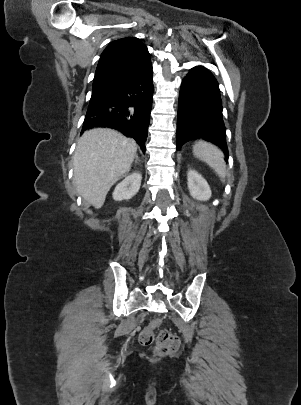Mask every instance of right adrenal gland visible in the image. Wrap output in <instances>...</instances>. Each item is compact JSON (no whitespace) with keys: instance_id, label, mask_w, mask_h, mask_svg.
Segmentation results:
<instances>
[{"instance_id":"obj_1","label":"right adrenal gland","mask_w":301,"mask_h":405,"mask_svg":"<svg viewBox=\"0 0 301 405\" xmlns=\"http://www.w3.org/2000/svg\"><path fill=\"white\" fill-rule=\"evenodd\" d=\"M137 161H138V155L136 154V156H135V163H137Z\"/></svg>"}]
</instances>
